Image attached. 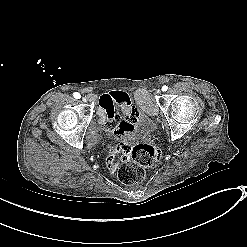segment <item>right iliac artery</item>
Masks as SVG:
<instances>
[{
	"label": "right iliac artery",
	"instance_id": "1",
	"mask_svg": "<svg viewBox=\"0 0 247 247\" xmlns=\"http://www.w3.org/2000/svg\"><path fill=\"white\" fill-rule=\"evenodd\" d=\"M74 98H76V99H79L81 96H80V94L79 93H74Z\"/></svg>",
	"mask_w": 247,
	"mask_h": 247
}]
</instances>
